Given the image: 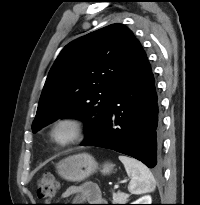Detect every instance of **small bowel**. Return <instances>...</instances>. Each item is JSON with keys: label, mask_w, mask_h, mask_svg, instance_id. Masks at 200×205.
<instances>
[{"label": "small bowel", "mask_w": 200, "mask_h": 205, "mask_svg": "<svg viewBox=\"0 0 200 205\" xmlns=\"http://www.w3.org/2000/svg\"><path fill=\"white\" fill-rule=\"evenodd\" d=\"M70 196L80 197L90 203L103 202V198L101 196L100 190L96 185L92 183H85L82 186H71L67 188L63 193V197L67 198ZM91 205H101V204H91Z\"/></svg>", "instance_id": "small-bowel-1"}]
</instances>
